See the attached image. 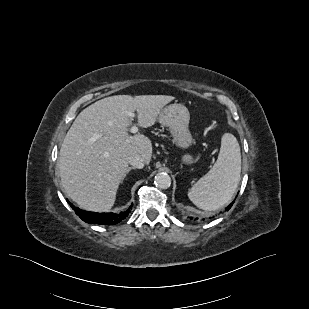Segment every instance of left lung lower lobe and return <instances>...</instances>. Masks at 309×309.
<instances>
[{
  "mask_svg": "<svg viewBox=\"0 0 309 309\" xmlns=\"http://www.w3.org/2000/svg\"><path fill=\"white\" fill-rule=\"evenodd\" d=\"M233 203H234V202H232L229 206L226 207V210H227V211L232 207ZM190 219H193V217H190Z\"/></svg>",
  "mask_w": 309,
  "mask_h": 309,
  "instance_id": "obj_1",
  "label": "left lung lower lobe"
}]
</instances>
